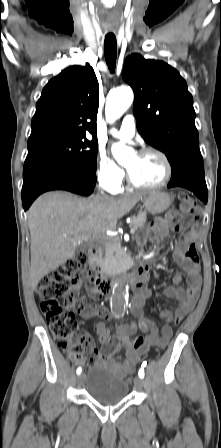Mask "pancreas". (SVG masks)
Returning <instances> with one entry per match:
<instances>
[{
  "label": "pancreas",
  "mask_w": 221,
  "mask_h": 448,
  "mask_svg": "<svg viewBox=\"0 0 221 448\" xmlns=\"http://www.w3.org/2000/svg\"><path fill=\"white\" fill-rule=\"evenodd\" d=\"M147 216L140 213L131 218L130 226L136 229L144 227ZM100 265L105 272L119 271L124 264V253L118 238H109L99 253Z\"/></svg>",
  "instance_id": "pancreas-1"
}]
</instances>
